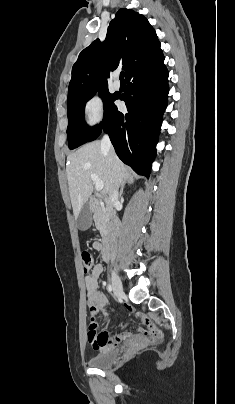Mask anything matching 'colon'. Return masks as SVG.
<instances>
[{"label": "colon", "mask_w": 235, "mask_h": 404, "mask_svg": "<svg viewBox=\"0 0 235 404\" xmlns=\"http://www.w3.org/2000/svg\"><path fill=\"white\" fill-rule=\"evenodd\" d=\"M80 257L82 261V268L85 273L89 272L93 266V257L89 250H82L80 252ZM88 329L89 331L95 333L97 330V320L95 315L91 314L88 321ZM145 334L152 340L160 339V333L156 330H146Z\"/></svg>", "instance_id": "1"}]
</instances>
